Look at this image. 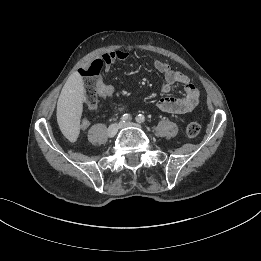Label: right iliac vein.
I'll return each mask as SVG.
<instances>
[{
  "instance_id": "1",
  "label": "right iliac vein",
  "mask_w": 261,
  "mask_h": 261,
  "mask_svg": "<svg viewBox=\"0 0 261 261\" xmlns=\"http://www.w3.org/2000/svg\"><path fill=\"white\" fill-rule=\"evenodd\" d=\"M120 125H121V123H119V124L114 123V124L110 125L107 129V136L110 138L114 137L117 134L118 130L120 129Z\"/></svg>"
}]
</instances>
